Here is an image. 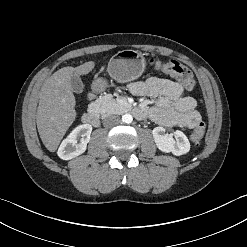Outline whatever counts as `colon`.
Wrapping results in <instances>:
<instances>
[{"label": "colon", "instance_id": "colon-1", "mask_svg": "<svg viewBox=\"0 0 247 247\" xmlns=\"http://www.w3.org/2000/svg\"><path fill=\"white\" fill-rule=\"evenodd\" d=\"M150 64L156 71L163 72L177 78L187 89H192L195 85V80L190 69L176 60L161 61L151 59ZM204 133L205 126L203 123H199L190 135L191 141L198 144L203 139Z\"/></svg>", "mask_w": 247, "mask_h": 247}]
</instances>
